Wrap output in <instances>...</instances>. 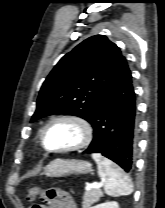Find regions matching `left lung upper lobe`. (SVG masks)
<instances>
[{
	"instance_id": "5c2ea615",
	"label": "left lung upper lobe",
	"mask_w": 165,
	"mask_h": 208,
	"mask_svg": "<svg viewBox=\"0 0 165 208\" xmlns=\"http://www.w3.org/2000/svg\"><path fill=\"white\" fill-rule=\"evenodd\" d=\"M126 59L104 35L92 36L64 55L44 81L31 122L67 113L90 123Z\"/></svg>"
}]
</instances>
